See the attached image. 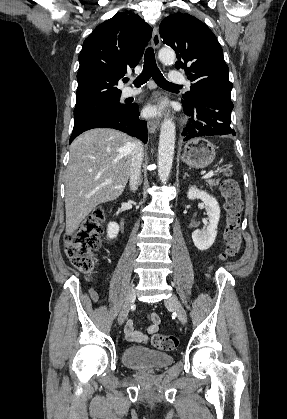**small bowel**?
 I'll return each instance as SVG.
<instances>
[{"label":"small bowel","instance_id":"small-bowel-1","mask_svg":"<svg viewBox=\"0 0 287 419\" xmlns=\"http://www.w3.org/2000/svg\"><path fill=\"white\" fill-rule=\"evenodd\" d=\"M90 297L93 301L97 300V295L94 292L90 293ZM148 318L150 320V324L147 328V334L140 330H136L133 320L127 321L124 330L129 341L134 343H146L148 341L149 334H153L158 330L161 322L160 316L157 313H151L148 315Z\"/></svg>","mask_w":287,"mask_h":419}]
</instances>
